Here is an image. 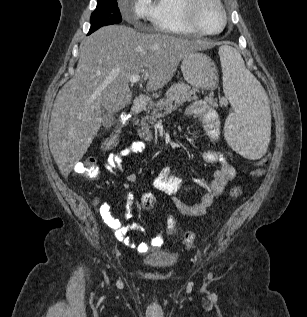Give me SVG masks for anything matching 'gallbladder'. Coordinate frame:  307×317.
Returning a JSON list of instances; mask_svg holds the SVG:
<instances>
[{
	"label": "gallbladder",
	"mask_w": 307,
	"mask_h": 317,
	"mask_svg": "<svg viewBox=\"0 0 307 317\" xmlns=\"http://www.w3.org/2000/svg\"><path fill=\"white\" fill-rule=\"evenodd\" d=\"M102 118L103 122L102 125L104 128L109 129L114 124L113 115L108 113L104 108H102Z\"/></svg>",
	"instance_id": "1"
}]
</instances>
